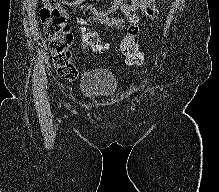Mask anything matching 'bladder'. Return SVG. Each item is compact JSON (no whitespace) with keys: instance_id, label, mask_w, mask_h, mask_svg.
Returning <instances> with one entry per match:
<instances>
[{"instance_id":"1","label":"bladder","mask_w":219,"mask_h":192,"mask_svg":"<svg viewBox=\"0 0 219 192\" xmlns=\"http://www.w3.org/2000/svg\"><path fill=\"white\" fill-rule=\"evenodd\" d=\"M116 88V78L108 70L94 68L86 71L82 76V91L89 99L106 97Z\"/></svg>"}]
</instances>
